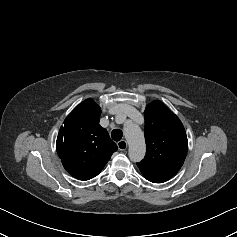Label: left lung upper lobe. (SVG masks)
Wrapping results in <instances>:
<instances>
[{
  "mask_svg": "<svg viewBox=\"0 0 237 237\" xmlns=\"http://www.w3.org/2000/svg\"><path fill=\"white\" fill-rule=\"evenodd\" d=\"M147 153L137 163L143 175L165 182L184 163L188 140L182 122L161 101L147 105L144 111Z\"/></svg>",
  "mask_w": 237,
  "mask_h": 237,
  "instance_id": "5c2ea615",
  "label": "left lung upper lobe"
}]
</instances>
